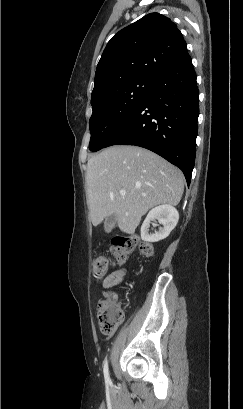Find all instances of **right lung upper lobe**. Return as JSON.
<instances>
[{
    "label": "right lung upper lobe",
    "mask_w": 243,
    "mask_h": 409,
    "mask_svg": "<svg viewBox=\"0 0 243 409\" xmlns=\"http://www.w3.org/2000/svg\"><path fill=\"white\" fill-rule=\"evenodd\" d=\"M186 52V42L171 19L147 14L108 42L97 65L91 103L129 81L155 82Z\"/></svg>",
    "instance_id": "obj_1"
}]
</instances>
